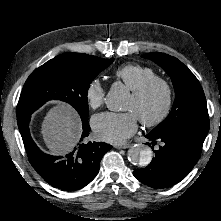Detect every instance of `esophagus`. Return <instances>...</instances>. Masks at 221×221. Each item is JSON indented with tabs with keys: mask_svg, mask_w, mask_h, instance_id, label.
I'll return each mask as SVG.
<instances>
[{
	"mask_svg": "<svg viewBox=\"0 0 221 221\" xmlns=\"http://www.w3.org/2000/svg\"><path fill=\"white\" fill-rule=\"evenodd\" d=\"M131 145L130 144H125V145H115L116 149H126L129 148Z\"/></svg>",
	"mask_w": 221,
	"mask_h": 221,
	"instance_id": "esophagus-1",
	"label": "esophagus"
}]
</instances>
